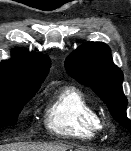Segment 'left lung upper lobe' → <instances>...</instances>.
I'll use <instances>...</instances> for the list:
<instances>
[{"label": "left lung upper lobe", "mask_w": 131, "mask_h": 151, "mask_svg": "<svg viewBox=\"0 0 131 151\" xmlns=\"http://www.w3.org/2000/svg\"><path fill=\"white\" fill-rule=\"evenodd\" d=\"M70 76L90 87L107 104L114 119L131 130L126 116L123 73L112 60L110 48L102 42H88L73 51L65 61Z\"/></svg>", "instance_id": "5c2ea615"}]
</instances>
